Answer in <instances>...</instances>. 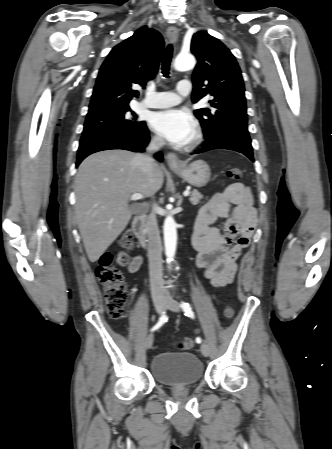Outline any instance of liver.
Wrapping results in <instances>:
<instances>
[{
	"label": "liver",
	"instance_id": "6515ba94",
	"mask_svg": "<svg viewBox=\"0 0 332 449\" xmlns=\"http://www.w3.org/2000/svg\"><path fill=\"white\" fill-rule=\"evenodd\" d=\"M125 150L90 155L79 166L75 179V216L91 262L97 261L128 225L133 211L132 194L150 196L163 185V172L155 164L148 177Z\"/></svg>",
	"mask_w": 332,
	"mask_h": 449
}]
</instances>
